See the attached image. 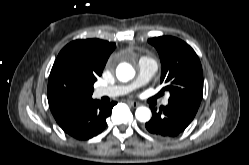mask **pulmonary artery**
<instances>
[{
	"label": "pulmonary artery",
	"mask_w": 249,
	"mask_h": 165,
	"mask_svg": "<svg viewBox=\"0 0 249 165\" xmlns=\"http://www.w3.org/2000/svg\"><path fill=\"white\" fill-rule=\"evenodd\" d=\"M157 65L156 63L147 57H142L138 63V75L130 83L124 85H110V86H100L96 88L95 95L97 97L102 96H121L131 93L132 91L145 85L156 73ZM163 105L168 104V98H164L162 101Z\"/></svg>",
	"instance_id": "1"
}]
</instances>
